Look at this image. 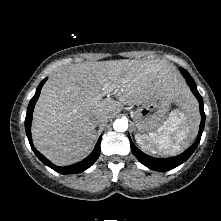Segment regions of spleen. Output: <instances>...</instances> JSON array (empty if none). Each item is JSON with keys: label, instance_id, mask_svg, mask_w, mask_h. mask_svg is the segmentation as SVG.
Wrapping results in <instances>:
<instances>
[{"label": "spleen", "instance_id": "spleen-1", "mask_svg": "<svg viewBox=\"0 0 221 221\" xmlns=\"http://www.w3.org/2000/svg\"><path fill=\"white\" fill-rule=\"evenodd\" d=\"M197 114L189 106L170 112L164 125L155 134L135 135L144 151L160 155H176L186 149L195 137Z\"/></svg>", "mask_w": 221, "mask_h": 221}]
</instances>
